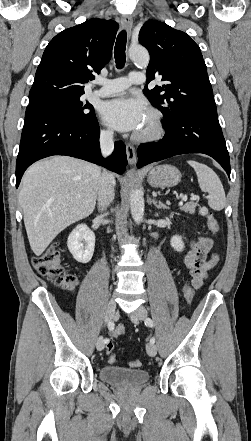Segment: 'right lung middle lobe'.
<instances>
[{"label": "right lung middle lobe", "instance_id": "obj_1", "mask_svg": "<svg viewBox=\"0 0 251 441\" xmlns=\"http://www.w3.org/2000/svg\"><path fill=\"white\" fill-rule=\"evenodd\" d=\"M30 107H37L64 115L76 122H88L95 118L93 106L81 101V95H55L30 102Z\"/></svg>", "mask_w": 251, "mask_h": 441}]
</instances>
